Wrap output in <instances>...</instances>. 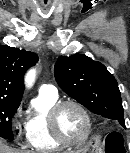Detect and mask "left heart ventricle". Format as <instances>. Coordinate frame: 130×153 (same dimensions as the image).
Wrapping results in <instances>:
<instances>
[{"label": "left heart ventricle", "mask_w": 130, "mask_h": 153, "mask_svg": "<svg viewBox=\"0 0 130 153\" xmlns=\"http://www.w3.org/2000/svg\"><path fill=\"white\" fill-rule=\"evenodd\" d=\"M58 125L62 135L76 141L82 137L85 132V120L82 113L74 106H65L59 113Z\"/></svg>", "instance_id": "obj_1"}]
</instances>
